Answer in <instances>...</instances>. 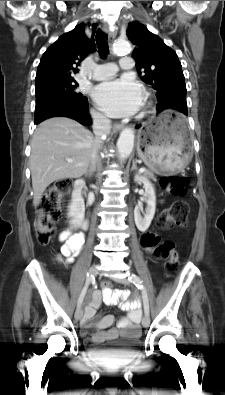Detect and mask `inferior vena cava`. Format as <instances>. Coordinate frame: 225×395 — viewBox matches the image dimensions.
Returning a JSON list of instances; mask_svg holds the SVG:
<instances>
[{
    "instance_id": "602c4592",
    "label": "inferior vena cava",
    "mask_w": 225,
    "mask_h": 395,
    "mask_svg": "<svg viewBox=\"0 0 225 395\" xmlns=\"http://www.w3.org/2000/svg\"><path fill=\"white\" fill-rule=\"evenodd\" d=\"M92 118L95 140L90 157V169L95 168L96 162L98 160V149L100 148L102 143L101 136L104 134H109L111 129V120L105 117L103 114L94 112L92 114Z\"/></svg>"
}]
</instances>
